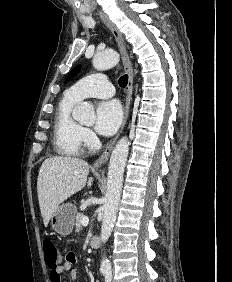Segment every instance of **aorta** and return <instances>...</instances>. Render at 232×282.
Returning a JSON list of instances; mask_svg holds the SVG:
<instances>
[{
  "instance_id": "762f6f07",
  "label": "aorta",
  "mask_w": 232,
  "mask_h": 282,
  "mask_svg": "<svg viewBox=\"0 0 232 282\" xmlns=\"http://www.w3.org/2000/svg\"><path fill=\"white\" fill-rule=\"evenodd\" d=\"M120 56L114 50L97 51L93 57V66L102 71L116 66ZM74 118L83 123H93L95 120L94 108L91 103L83 102L74 114ZM129 140L122 137L115 145L108 166L107 190L103 205V220L101 226V242L106 243L111 235L121 197L123 174L129 152ZM100 270L104 274L111 273V263L103 258Z\"/></svg>"
}]
</instances>
